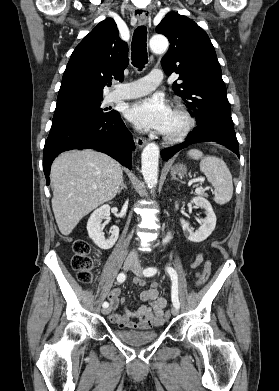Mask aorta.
<instances>
[{"instance_id":"762f6f07","label":"aorta","mask_w":279,"mask_h":391,"mask_svg":"<svg viewBox=\"0 0 279 391\" xmlns=\"http://www.w3.org/2000/svg\"><path fill=\"white\" fill-rule=\"evenodd\" d=\"M168 44L167 38L161 35L153 36L150 39V48L156 54L165 52ZM159 153V147L156 143H148L141 154L142 175L150 188H154L158 183ZM170 238L171 236L168 234L163 243H167Z\"/></svg>"}]
</instances>
